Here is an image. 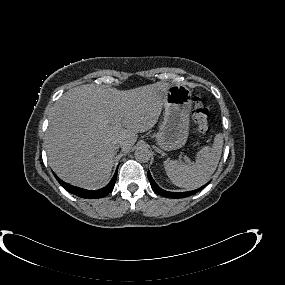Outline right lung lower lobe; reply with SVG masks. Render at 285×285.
Segmentation results:
<instances>
[{
    "label": "right lung lower lobe",
    "mask_w": 285,
    "mask_h": 285,
    "mask_svg": "<svg viewBox=\"0 0 285 285\" xmlns=\"http://www.w3.org/2000/svg\"><path fill=\"white\" fill-rule=\"evenodd\" d=\"M117 170H118V168H117ZM117 170H116L112 180L110 181V183L108 185H106L105 187H103L102 189H99V190H86V189H83L80 187H76V186H73V185H70L68 183L63 182L55 174L54 175H55L57 181L68 192H70V193H72L78 197H81V198L97 199V198H102V197L107 196L113 190L115 182H116V178H117Z\"/></svg>",
    "instance_id": "98d812e1"
}]
</instances>
